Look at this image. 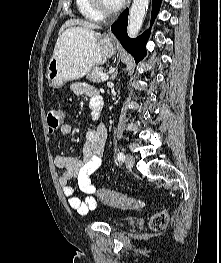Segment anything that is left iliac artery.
Here are the masks:
<instances>
[{"mask_svg": "<svg viewBox=\"0 0 221 263\" xmlns=\"http://www.w3.org/2000/svg\"><path fill=\"white\" fill-rule=\"evenodd\" d=\"M125 160V155L122 152H119L117 155V161L118 162H123Z\"/></svg>", "mask_w": 221, "mask_h": 263, "instance_id": "1", "label": "left iliac artery"}]
</instances>
